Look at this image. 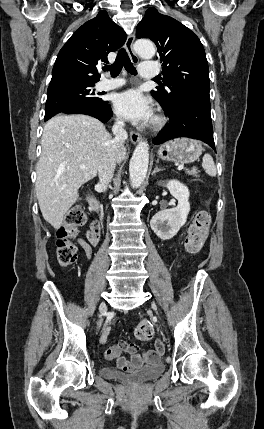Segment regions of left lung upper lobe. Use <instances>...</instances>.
<instances>
[{
  "mask_svg": "<svg viewBox=\"0 0 264 429\" xmlns=\"http://www.w3.org/2000/svg\"><path fill=\"white\" fill-rule=\"evenodd\" d=\"M136 36L148 38L157 46L166 87H156L151 94L162 107L173 106L183 94L210 99L208 62L195 33L149 8L137 25Z\"/></svg>",
  "mask_w": 264,
  "mask_h": 429,
  "instance_id": "obj_1",
  "label": "left lung upper lobe"
}]
</instances>
